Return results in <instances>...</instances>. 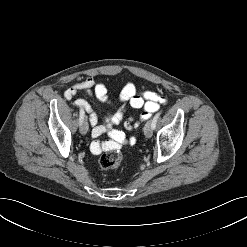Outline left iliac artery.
<instances>
[{
	"instance_id": "1",
	"label": "left iliac artery",
	"mask_w": 247,
	"mask_h": 247,
	"mask_svg": "<svg viewBox=\"0 0 247 247\" xmlns=\"http://www.w3.org/2000/svg\"><path fill=\"white\" fill-rule=\"evenodd\" d=\"M160 114H161V112L157 113V114L154 116L153 120H152V128H153V129H155V127H156V123H157V120H158L159 117H160Z\"/></svg>"
}]
</instances>
